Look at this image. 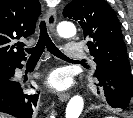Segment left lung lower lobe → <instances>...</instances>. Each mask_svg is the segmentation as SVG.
<instances>
[{
  "instance_id": "0a47b994",
  "label": "left lung lower lobe",
  "mask_w": 133,
  "mask_h": 118,
  "mask_svg": "<svg viewBox=\"0 0 133 118\" xmlns=\"http://www.w3.org/2000/svg\"><path fill=\"white\" fill-rule=\"evenodd\" d=\"M99 80V92L104 100L113 107L126 109L127 107L133 106V96L127 91L116 86L107 79Z\"/></svg>"
}]
</instances>
